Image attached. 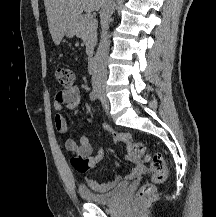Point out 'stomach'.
Returning a JSON list of instances; mask_svg holds the SVG:
<instances>
[{"label": "stomach", "mask_w": 216, "mask_h": 217, "mask_svg": "<svg viewBox=\"0 0 216 217\" xmlns=\"http://www.w3.org/2000/svg\"><path fill=\"white\" fill-rule=\"evenodd\" d=\"M75 32H76V25L70 27L67 30L66 34H67L68 37H73L75 35Z\"/></svg>", "instance_id": "1"}]
</instances>
